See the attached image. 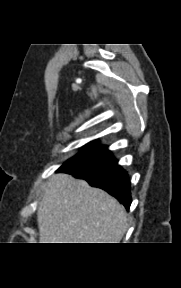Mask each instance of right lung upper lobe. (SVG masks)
Here are the masks:
<instances>
[{
    "mask_svg": "<svg viewBox=\"0 0 181 288\" xmlns=\"http://www.w3.org/2000/svg\"><path fill=\"white\" fill-rule=\"evenodd\" d=\"M97 148H100V149H103V150H106L105 147H102V146H97ZM109 152V151H108Z\"/></svg>",
    "mask_w": 181,
    "mask_h": 288,
    "instance_id": "right-lung-upper-lobe-1",
    "label": "right lung upper lobe"
}]
</instances>
